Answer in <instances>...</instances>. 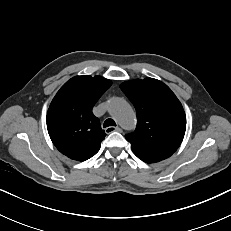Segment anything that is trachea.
<instances>
[{"label": "trachea", "instance_id": "trachea-1", "mask_svg": "<svg viewBox=\"0 0 231 231\" xmlns=\"http://www.w3.org/2000/svg\"><path fill=\"white\" fill-rule=\"evenodd\" d=\"M110 126H116L115 121L113 119L105 120L103 127L106 128V127H110Z\"/></svg>", "mask_w": 231, "mask_h": 231}]
</instances>
